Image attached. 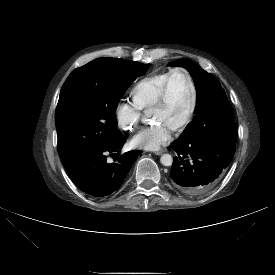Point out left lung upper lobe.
I'll return each instance as SVG.
<instances>
[{
  "instance_id": "obj_1",
  "label": "left lung upper lobe",
  "mask_w": 275,
  "mask_h": 275,
  "mask_svg": "<svg viewBox=\"0 0 275 275\" xmlns=\"http://www.w3.org/2000/svg\"><path fill=\"white\" fill-rule=\"evenodd\" d=\"M169 66L187 69L197 91L196 118L190 122L177 140L204 137H227L236 142L235 116L220 82L190 60L170 62Z\"/></svg>"
}]
</instances>
